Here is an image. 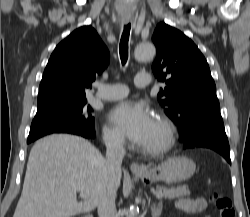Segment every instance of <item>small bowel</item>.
Returning a JSON list of instances; mask_svg holds the SVG:
<instances>
[{
  "label": "small bowel",
  "mask_w": 250,
  "mask_h": 217,
  "mask_svg": "<svg viewBox=\"0 0 250 217\" xmlns=\"http://www.w3.org/2000/svg\"><path fill=\"white\" fill-rule=\"evenodd\" d=\"M176 207L188 214H198L206 209L207 202L204 198H181L176 201Z\"/></svg>",
  "instance_id": "1"
}]
</instances>
